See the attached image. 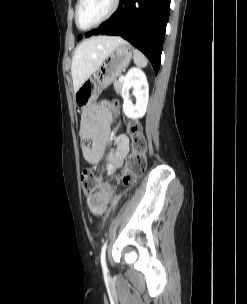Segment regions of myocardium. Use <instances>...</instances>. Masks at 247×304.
<instances>
[{
	"label": "myocardium",
	"instance_id": "f54148a6",
	"mask_svg": "<svg viewBox=\"0 0 247 304\" xmlns=\"http://www.w3.org/2000/svg\"><path fill=\"white\" fill-rule=\"evenodd\" d=\"M82 2H83V0H78L76 7H75V23H76V26L78 27V29H80L82 31H87V30L96 28L99 25H101L102 23H104L105 21H107L108 19H110L114 15V13L117 11L119 4H120V0H113L111 8L100 20H98L96 23H94L93 25H91L87 28H81L79 25V22H78V16H79V9H80Z\"/></svg>",
	"mask_w": 247,
	"mask_h": 304
}]
</instances>
